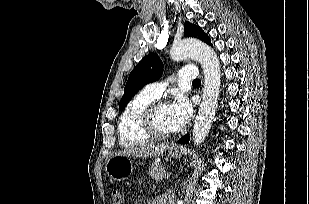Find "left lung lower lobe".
I'll return each mask as SVG.
<instances>
[{"mask_svg":"<svg viewBox=\"0 0 309 204\" xmlns=\"http://www.w3.org/2000/svg\"><path fill=\"white\" fill-rule=\"evenodd\" d=\"M179 143L185 144L189 142V135L186 134L185 136L181 137L178 141Z\"/></svg>","mask_w":309,"mask_h":204,"instance_id":"1","label":"left lung lower lobe"}]
</instances>
